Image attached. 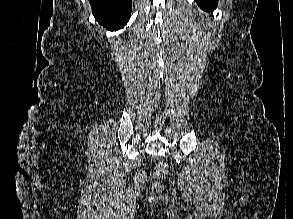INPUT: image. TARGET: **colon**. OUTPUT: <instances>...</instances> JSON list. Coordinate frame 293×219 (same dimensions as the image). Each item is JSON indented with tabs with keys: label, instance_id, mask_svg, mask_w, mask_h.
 Wrapping results in <instances>:
<instances>
[{
	"label": "colon",
	"instance_id": "obj_1",
	"mask_svg": "<svg viewBox=\"0 0 293 219\" xmlns=\"http://www.w3.org/2000/svg\"><path fill=\"white\" fill-rule=\"evenodd\" d=\"M166 175V167L159 166L155 168L151 173L139 172L136 176L137 186H143L146 182L151 179H160Z\"/></svg>",
	"mask_w": 293,
	"mask_h": 219
}]
</instances>
